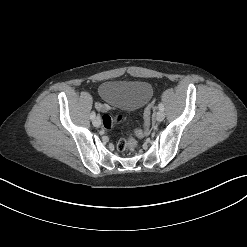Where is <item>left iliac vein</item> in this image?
<instances>
[{"instance_id": "obj_1", "label": "left iliac vein", "mask_w": 247, "mask_h": 247, "mask_svg": "<svg viewBox=\"0 0 247 247\" xmlns=\"http://www.w3.org/2000/svg\"><path fill=\"white\" fill-rule=\"evenodd\" d=\"M164 118H165V113L163 111H161V110L158 111L157 114H156V120L158 122H161V121L164 120Z\"/></svg>"}]
</instances>
